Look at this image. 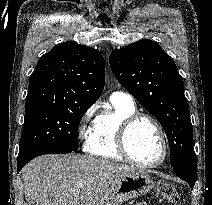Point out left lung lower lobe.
Here are the masks:
<instances>
[{
  "label": "left lung lower lobe",
  "instance_id": "obj_1",
  "mask_svg": "<svg viewBox=\"0 0 212 205\" xmlns=\"http://www.w3.org/2000/svg\"><path fill=\"white\" fill-rule=\"evenodd\" d=\"M175 174L186 181L190 185L191 189H193L197 178V171L186 169L182 171H175Z\"/></svg>",
  "mask_w": 212,
  "mask_h": 205
}]
</instances>
